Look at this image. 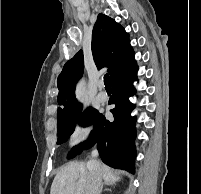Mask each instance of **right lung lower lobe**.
<instances>
[{
	"label": "right lung lower lobe",
	"instance_id": "obj_1",
	"mask_svg": "<svg viewBox=\"0 0 201 194\" xmlns=\"http://www.w3.org/2000/svg\"><path fill=\"white\" fill-rule=\"evenodd\" d=\"M137 70L138 67L134 63L112 81L113 95L109 99V104L114 105L111 110L114 120H106L99 114L89 139L92 142L81 144L72 151L75 150L76 154H79L83 149H88L97 142L100 157L105 164L125 169L131 173L135 172L136 118L131 116L135 105L129 102V97L135 92L133 82L136 80Z\"/></svg>",
	"mask_w": 201,
	"mask_h": 194
}]
</instances>
